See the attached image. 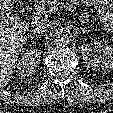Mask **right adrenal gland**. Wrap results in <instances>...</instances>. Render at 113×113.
Here are the masks:
<instances>
[{
  "label": "right adrenal gland",
  "instance_id": "obj_1",
  "mask_svg": "<svg viewBox=\"0 0 113 113\" xmlns=\"http://www.w3.org/2000/svg\"><path fill=\"white\" fill-rule=\"evenodd\" d=\"M39 38H40V37L37 36V35H36V36H31V39H35V40H36V39H39Z\"/></svg>",
  "mask_w": 113,
  "mask_h": 113
}]
</instances>
